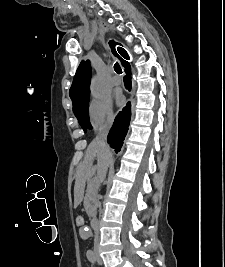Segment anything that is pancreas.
<instances>
[{
    "label": "pancreas",
    "mask_w": 225,
    "mask_h": 267,
    "mask_svg": "<svg viewBox=\"0 0 225 267\" xmlns=\"http://www.w3.org/2000/svg\"><path fill=\"white\" fill-rule=\"evenodd\" d=\"M97 185L94 184L92 181L89 182L86 196L84 198V208L88 214V216H93L95 214V207L93 206L94 197L96 193Z\"/></svg>",
    "instance_id": "1"
}]
</instances>
